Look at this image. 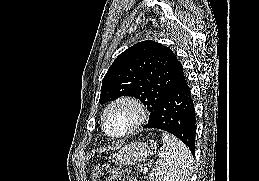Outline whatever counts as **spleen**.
<instances>
[{"label":"spleen","mask_w":259,"mask_h":181,"mask_svg":"<svg viewBox=\"0 0 259 181\" xmlns=\"http://www.w3.org/2000/svg\"><path fill=\"white\" fill-rule=\"evenodd\" d=\"M159 159L149 174L150 181H189L193 158L189 148L175 136L163 132Z\"/></svg>","instance_id":"3e777b00"}]
</instances>
